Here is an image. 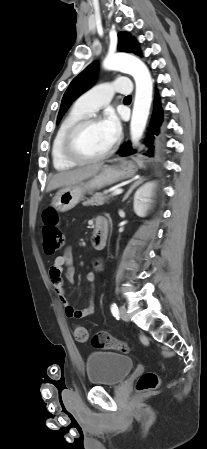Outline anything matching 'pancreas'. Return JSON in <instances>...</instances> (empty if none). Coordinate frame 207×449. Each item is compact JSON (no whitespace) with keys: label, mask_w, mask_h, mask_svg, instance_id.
Masks as SVG:
<instances>
[{"label":"pancreas","mask_w":207,"mask_h":449,"mask_svg":"<svg viewBox=\"0 0 207 449\" xmlns=\"http://www.w3.org/2000/svg\"><path fill=\"white\" fill-rule=\"evenodd\" d=\"M107 202L105 193H96L90 199L83 203L84 206H99Z\"/></svg>","instance_id":"1"}]
</instances>
